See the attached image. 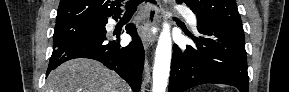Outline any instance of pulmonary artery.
Returning a JSON list of instances; mask_svg holds the SVG:
<instances>
[{
    "instance_id": "pulmonary-artery-1",
    "label": "pulmonary artery",
    "mask_w": 289,
    "mask_h": 92,
    "mask_svg": "<svg viewBox=\"0 0 289 92\" xmlns=\"http://www.w3.org/2000/svg\"><path fill=\"white\" fill-rule=\"evenodd\" d=\"M179 13L183 14L188 23L193 27V28H196V25H197V19H196V16L195 14L190 11L189 9L187 8H178L177 9Z\"/></svg>"
}]
</instances>
